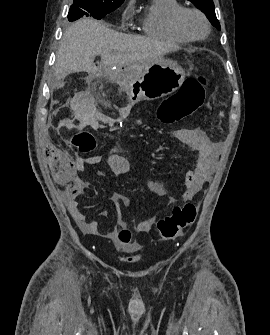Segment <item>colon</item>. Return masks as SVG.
I'll list each match as a JSON object with an SVG mask.
<instances>
[{"instance_id":"obj_1","label":"colon","mask_w":270,"mask_h":335,"mask_svg":"<svg viewBox=\"0 0 270 335\" xmlns=\"http://www.w3.org/2000/svg\"><path fill=\"white\" fill-rule=\"evenodd\" d=\"M207 80L203 76L189 78L175 94L164 98L157 111V115L163 124L170 125L183 121L191 115L203 102L204 86ZM70 145L80 153L92 154L97 149L94 135L88 131L73 134ZM196 219V204L189 201L176 205L172 212L163 216L157 222V230L164 240L175 238L182 230L190 226ZM118 238L123 243L131 240L129 230H121Z\"/></svg>"}]
</instances>
